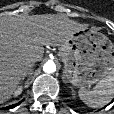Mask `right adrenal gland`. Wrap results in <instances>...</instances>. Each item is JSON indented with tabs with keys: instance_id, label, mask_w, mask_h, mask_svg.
I'll return each mask as SVG.
<instances>
[{
	"instance_id": "2a0ac1e0",
	"label": "right adrenal gland",
	"mask_w": 114,
	"mask_h": 114,
	"mask_svg": "<svg viewBox=\"0 0 114 114\" xmlns=\"http://www.w3.org/2000/svg\"><path fill=\"white\" fill-rule=\"evenodd\" d=\"M34 66V65H33ZM33 66H32V68L30 69V71H29V73H28V79L26 80V83H28L29 82V80H30V78H31V76L33 75Z\"/></svg>"
}]
</instances>
